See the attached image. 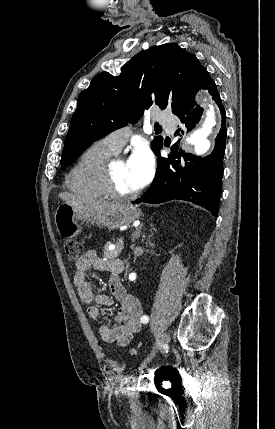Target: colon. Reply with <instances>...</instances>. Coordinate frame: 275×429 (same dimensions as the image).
Instances as JSON below:
<instances>
[{"instance_id": "5ec220e1", "label": "colon", "mask_w": 275, "mask_h": 429, "mask_svg": "<svg viewBox=\"0 0 275 429\" xmlns=\"http://www.w3.org/2000/svg\"><path fill=\"white\" fill-rule=\"evenodd\" d=\"M64 250L66 258L69 261H76L80 257L83 247L80 242L68 239L64 243ZM104 370L108 380L110 382H116L122 373V366L117 362L110 360L105 364Z\"/></svg>"}]
</instances>
